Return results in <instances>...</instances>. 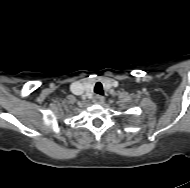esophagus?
<instances>
[{"label": "esophagus", "instance_id": "obj_1", "mask_svg": "<svg viewBox=\"0 0 190 188\" xmlns=\"http://www.w3.org/2000/svg\"><path fill=\"white\" fill-rule=\"evenodd\" d=\"M104 101H105V98L103 97V96H100V95H97V96H95V98H94V102L96 103V104H103L104 103Z\"/></svg>", "mask_w": 190, "mask_h": 188}]
</instances>
